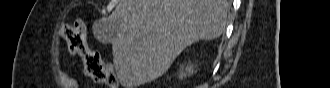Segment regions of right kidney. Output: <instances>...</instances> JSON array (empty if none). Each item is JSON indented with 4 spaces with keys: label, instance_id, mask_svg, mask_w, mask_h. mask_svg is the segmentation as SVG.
Returning a JSON list of instances; mask_svg holds the SVG:
<instances>
[{
    "label": "right kidney",
    "instance_id": "obj_1",
    "mask_svg": "<svg viewBox=\"0 0 330 88\" xmlns=\"http://www.w3.org/2000/svg\"><path fill=\"white\" fill-rule=\"evenodd\" d=\"M193 72H194V66L193 64H191V62H189L185 69L184 67L180 68L178 78L183 79L184 77H186L189 74H192Z\"/></svg>",
    "mask_w": 330,
    "mask_h": 88
}]
</instances>
